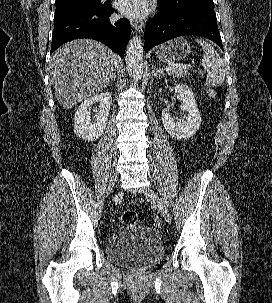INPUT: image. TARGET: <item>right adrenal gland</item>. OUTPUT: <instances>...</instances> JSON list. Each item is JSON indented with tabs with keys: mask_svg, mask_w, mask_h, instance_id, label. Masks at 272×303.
I'll list each match as a JSON object with an SVG mask.
<instances>
[{
	"mask_svg": "<svg viewBox=\"0 0 272 303\" xmlns=\"http://www.w3.org/2000/svg\"><path fill=\"white\" fill-rule=\"evenodd\" d=\"M115 78H116V74H114V76L111 78V80H110V82L108 83V85H109L110 83H113V82L115 81Z\"/></svg>",
	"mask_w": 272,
	"mask_h": 303,
	"instance_id": "1",
	"label": "right adrenal gland"
}]
</instances>
